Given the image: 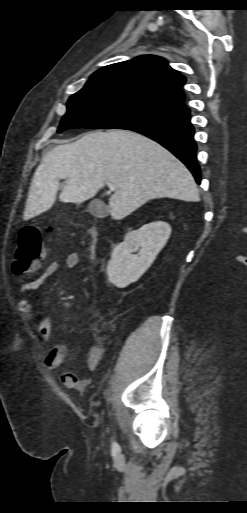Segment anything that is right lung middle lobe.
I'll return each instance as SVG.
<instances>
[{
    "label": "right lung middle lobe",
    "mask_w": 247,
    "mask_h": 513,
    "mask_svg": "<svg viewBox=\"0 0 247 513\" xmlns=\"http://www.w3.org/2000/svg\"><path fill=\"white\" fill-rule=\"evenodd\" d=\"M170 111L143 95L117 88H94L73 94L58 133L72 128L114 129Z\"/></svg>",
    "instance_id": "1"
}]
</instances>
